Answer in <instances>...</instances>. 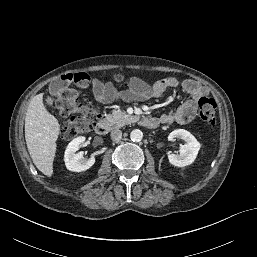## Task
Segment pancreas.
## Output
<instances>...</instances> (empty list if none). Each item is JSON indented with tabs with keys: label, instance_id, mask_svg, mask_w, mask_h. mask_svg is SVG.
Segmentation results:
<instances>
[{
	"label": "pancreas",
	"instance_id": "cf45deb5",
	"mask_svg": "<svg viewBox=\"0 0 257 257\" xmlns=\"http://www.w3.org/2000/svg\"><path fill=\"white\" fill-rule=\"evenodd\" d=\"M136 120L135 116L127 114L125 111L115 110L106 116V121L112 128H120Z\"/></svg>",
	"mask_w": 257,
	"mask_h": 257
}]
</instances>
